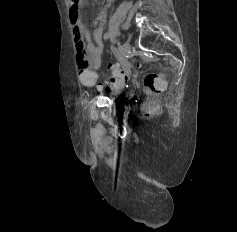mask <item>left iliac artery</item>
Instances as JSON below:
<instances>
[{
	"label": "left iliac artery",
	"mask_w": 237,
	"mask_h": 232,
	"mask_svg": "<svg viewBox=\"0 0 237 232\" xmlns=\"http://www.w3.org/2000/svg\"><path fill=\"white\" fill-rule=\"evenodd\" d=\"M111 37V34L110 33H106L104 34V39L107 40Z\"/></svg>",
	"instance_id": "1"
}]
</instances>
